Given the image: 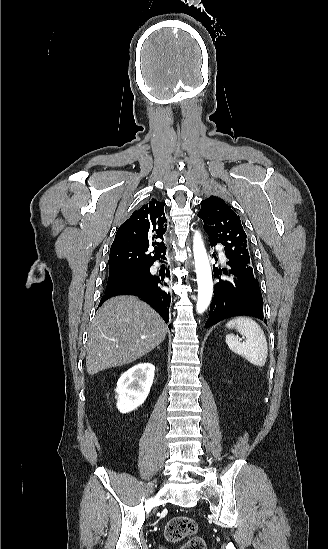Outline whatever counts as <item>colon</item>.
<instances>
[{"mask_svg":"<svg viewBox=\"0 0 328 549\" xmlns=\"http://www.w3.org/2000/svg\"><path fill=\"white\" fill-rule=\"evenodd\" d=\"M197 522L187 516H178L169 521L165 529V538L168 542L177 544L185 540L179 549H205L203 539L196 535Z\"/></svg>","mask_w":328,"mask_h":549,"instance_id":"colon-1","label":"colon"}]
</instances>
